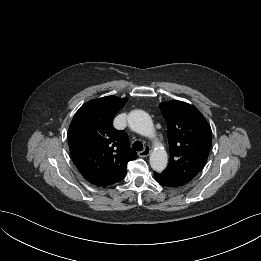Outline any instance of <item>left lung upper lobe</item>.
<instances>
[{
	"label": "left lung upper lobe",
	"mask_w": 261,
	"mask_h": 261,
	"mask_svg": "<svg viewBox=\"0 0 261 261\" xmlns=\"http://www.w3.org/2000/svg\"><path fill=\"white\" fill-rule=\"evenodd\" d=\"M167 123L170 161L161 173L182 184L204 167L211 149V128L199 110L182 101L160 104Z\"/></svg>",
	"instance_id": "1"
}]
</instances>
